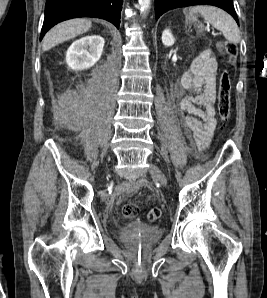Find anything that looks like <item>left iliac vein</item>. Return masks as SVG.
<instances>
[{"label":"left iliac vein","mask_w":267,"mask_h":298,"mask_svg":"<svg viewBox=\"0 0 267 298\" xmlns=\"http://www.w3.org/2000/svg\"><path fill=\"white\" fill-rule=\"evenodd\" d=\"M149 171L151 175L157 179L163 186L167 185V178L163 171L155 164H150Z\"/></svg>","instance_id":"left-iliac-vein-1"}]
</instances>
